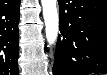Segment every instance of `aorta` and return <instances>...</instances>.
<instances>
[{"mask_svg": "<svg viewBox=\"0 0 107 75\" xmlns=\"http://www.w3.org/2000/svg\"><path fill=\"white\" fill-rule=\"evenodd\" d=\"M41 5L45 23L46 40L49 46H53L57 42L59 31L57 0H41Z\"/></svg>", "mask_w": 107, "mask_h": 75, "instance_id": "aorta-1", "label": "aorta"}]
</instances>
